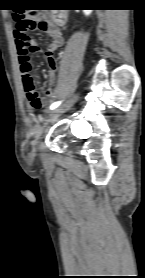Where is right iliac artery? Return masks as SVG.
Returning <instances> with one entry per match:
<instances>
[{
	"mask_svg": "<svg viewBox=\"0 0 145 278\" xmlns=\"http://www.w3.org/2000/svg\"><path fill=\"white\" fill-rule=\"evenodd\" d=\"M60 104H61V101L54 102V103L50 106V109H55V108H57Z\"/></svg>",
	"mask_w": 145,
	"mask_h": 278,
	"instance_id": "obj_1",
	"label": "right iliac artery"
}]
</instances>
